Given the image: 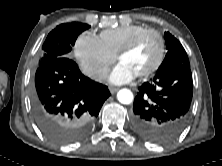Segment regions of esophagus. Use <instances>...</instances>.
I'll use <instances>...</instances> for the list:
<instances>
[{"instance_id":"1","label":"esophagus","mask_w":222,"mask_h":166,"mask_svg":"<svg viewBox=\"0 0 222 166\" xmlns=\"http://www.w3.org/2000/svg\"><path fill=\"white\" fill-rule=\"evenodd\" d=\"M119 90V88H117V87H110L109 88V91L113 94V93H115V92H117Z\"/></svg>"}]
</instances>
